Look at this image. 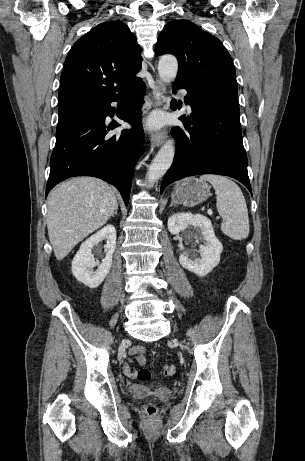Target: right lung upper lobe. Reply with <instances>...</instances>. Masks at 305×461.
<instances>
[{"instance_id":"1","label":"right lung upper lobe","mask_w":305,"mask_h":461,"mask_svg":"<svg viewBox=\"0 0 305 461\" xmlns=\"http://www.w3.org/2000/svg\"><path fill=\"white\" fill-rule=\"evenodd\" d=\"M141 49L121 21L99 24L76 41L60 78L58 107L125 93L139 83Z\"/></svg>"}]
</instances>
